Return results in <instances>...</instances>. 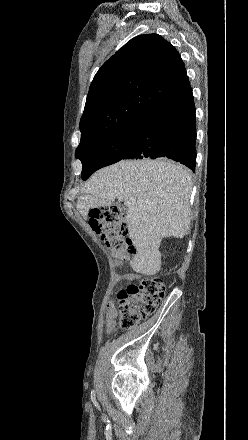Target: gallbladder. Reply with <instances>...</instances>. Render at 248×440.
<instances>
[{"mask_svg": "<svg viewBox=\"0 0 248 440\" xmlns=\"http://www.w3.org/2000/svg\"><path fill=\"white\" fill-rule=\"evenodd\" d=\"M116 205L120 207V204H119V203H116Z\"/></svg>", "mask_w": 248, "mask_h": 440, "instance_id": "1", "label": "gallbladder"}]
</instances>
